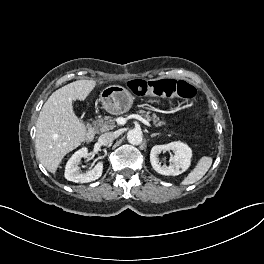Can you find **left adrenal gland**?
Returning a JSON list of instances; mask_svg holds the SVG:
<instances>
[{"mask_svg": "<svg viewBox=\"0 0 264 264\" xmlns=\"http://www.w3.org/2000/svg\"><path fill=\"white\" fill-rule=\"evenodd\" d=\"M157 135H160V133H153V134H151L150 136H151V137H155V136H157Z\"/></svg>", "mask_w": 264, "mask_h": 264, "instance_id": "left-adrenal-gland-1", "label": "left adrenal gland"}]
</instances>
